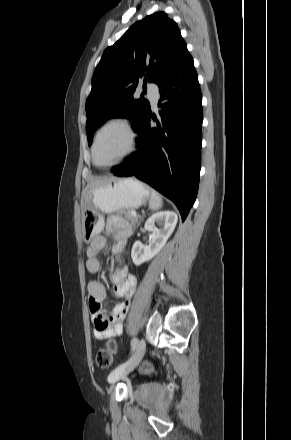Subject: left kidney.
<instances>
[{"label": "left kidney", "mask_w": 291, "mask_h": 440, "mask_svg": "<svg viewBox=\"0 0 291 440\" xmlns=\"http://www.w3.org/2000/svg\"><path fill=\"white\" fill-rule=\"evenodd\" d=\"M177 214L173 211H160L153 214L145 222V230L152 232L148 246L136 241L132 247L131 257L136 266L151 260L166 244L177 224ZM159 225L158 229L155 225Z\"/></svg>", "instance_id": "obj_1"}]
</instances>
